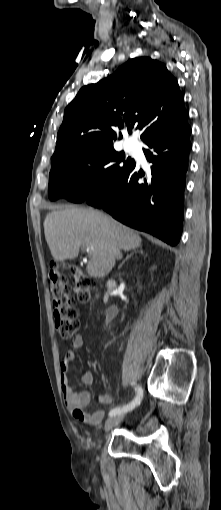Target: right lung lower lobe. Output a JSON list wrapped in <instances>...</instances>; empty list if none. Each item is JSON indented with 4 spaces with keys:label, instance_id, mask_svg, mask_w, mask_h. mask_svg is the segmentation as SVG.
I'll use <instances>...</instances> for the list:
<instances>
[{
    "label": "right lung lower lobe",
    "instance_id": "98d812e1",
    "mask_svg": "<svg viewBox=\"0 0 221 510\" xmlns=\"http://www.w3.org/2000/svg\"><path fill=\"white\" fill-rule=\"evenodd\" d=\"M191 128H181L151 136L143 142L147 161L152 163L147 175L136 163L112 187L87 200L103 208L115 219L175 246L182 233L185 175L191 149Z\"/></svg>",
    "mask_w": 221,
    "mask_h": 510
}]
</instances>
